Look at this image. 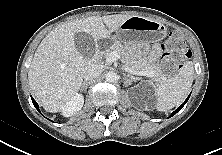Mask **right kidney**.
I'll return each mask as SVG.
<instances>
[{"instance_id":"right-kidney-1","label":"right kidney","mask_w":222,"mask_h":155,"mask_svg":"<svg viewBox=\"0 0 222 155\" xmlns=\"http://www.w3.org/2000/svg\"><path fill=\"white\" fill-rule=\"evenodd\" d=\"M83 104H84L83 96L81 94L75 95L63 108L62 110L63 116L65 117L72 116L73 114L81 110Z\"/></svg>"}]
</instances>
